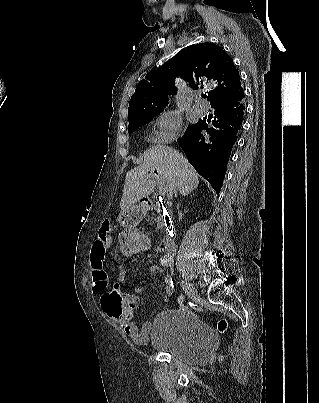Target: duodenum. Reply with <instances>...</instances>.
Masks as SVG:
<instances>
[{
	"label": "duodenum",
	"instance_id": "obj_1",
	"mask_svg": "<svg viewBox=\"0 0 319 403\" xmlns=\"http://www.w3.org/2000/svg\"><path fill=\"white\" fill-rule=\"evenodd\" d=\"M154 208H162L168 211V204L161 193H158L153 200L145 199L140 204V209L149 210ZM176 230L169 226L166 230V234L162 239L161 247L165 252H172L176 246Z\"/></svg>",
	"mask_w": 319,
	"mask_h": 403
}]
</instances>
